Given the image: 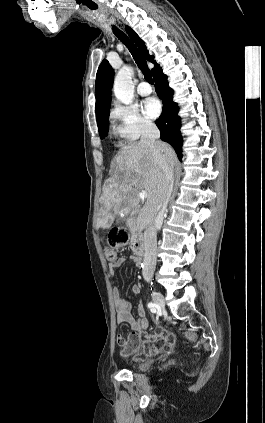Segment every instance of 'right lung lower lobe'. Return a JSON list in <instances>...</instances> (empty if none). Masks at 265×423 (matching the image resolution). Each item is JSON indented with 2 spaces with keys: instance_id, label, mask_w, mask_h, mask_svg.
<instances>
[{
  "instance_id": "right-lung-lower-lobe-1",
  "label": "right lung lower lobe",
  "mask_w": 265,
  "mask_h": 423,
  "mask_svg": "<svg viewBox=\"0 0 265 423\" xmlns=\"http://www.w3.org/2000/svg\"><path fill=\"white\" fill-rule=\"evenodd\" d=\"M153 79L156 92L163 102L162 114L155 123L161 132V139L174 148L178 158L181 160V119L177 115L179 110L177 103L173 102V90L168 86L167 76L163 74L160 67L153 73Z\"/></svg>"
}]
</instances>
